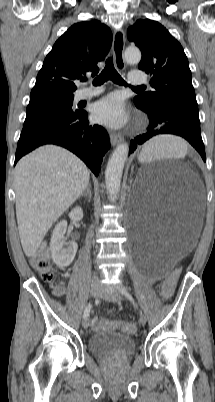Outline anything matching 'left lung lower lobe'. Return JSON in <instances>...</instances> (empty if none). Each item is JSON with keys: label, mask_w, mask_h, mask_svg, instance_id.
Instances as JSON below:
<instances>
[{"label": "left lung lower lobe", "mask_w": 215, "mask_h": 402, "mask_svg": "<svg viewBox=\"0 0 215 402\" xmlns=\"http://www.w3.org/2000/svg\"><path fill=\"white\" fill-rule=\"evenodd\" d=\"M134 103L137 108L147 113L149 125L144 133L131 141L130 153L154 136L175 134L185 138L206 161L198 114L168 104L156 106L139 101Z\"/></svg>", "instance_id": "left-lung-lower-lobe-1"}]
</instances>
